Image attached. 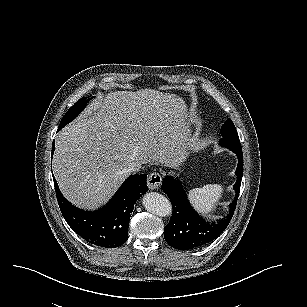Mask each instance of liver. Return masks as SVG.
<instances>
[{
  "mask_svg": "<svg viewBox=\"0 0 307 307\" xmlns=\"http://www.w3.org/2000/svg\"><path fill=\"white\" fill-rule=\"evenodd\" d=\"M191 114L176 94L112 91L56 136L52 170L63 196L95 210L114 195L131 164L176 167L185 158Z\"/></svg>",
  "mask_w": 307,
  "mask_h": 307,
  "instance_id": "1",
  "label": "liver"
}]
</instances>
